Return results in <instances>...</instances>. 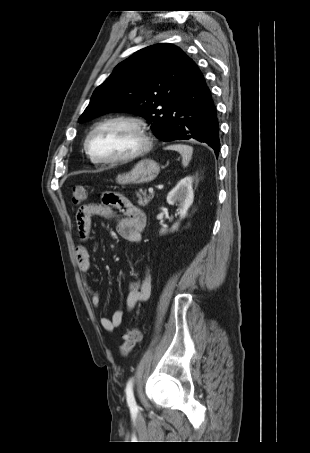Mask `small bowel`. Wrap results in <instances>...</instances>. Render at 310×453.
Instances as JSON below:
<instances>
[{
  "instance_id": "c3829d8e",
  "label": "small bowel",
  "mask_w": 310,
  "mask_h": 453,
  "mask_svg": "<svg viewBox=\"0 0 310 453\" xmlns=\"http://www.w3.org/2000/svg\"><path fill=\"white\" fill-rule=\"evenodd\" d=\"M113 209L121 213L117 223V231L120 237L132 245L140 244L142 232L146 225V215L140 208L119 194H108L101 204L89 203L78 209L76 213L77 231L83 243L90 239L92 217L95 215L112 217L114 216ZM76 260L81 273L88 277L91 273V261L89 251L84 244L77 247ZM86 288L91 297L92 305L95 308H100L101 298L98 292L88 284H86ZM151 289V278L146 270L140 279L131 282L129 285V293L126 298L127 310L132 311L138 303L147 301L151 295ZM123 318V311L117 310L110 318L103 317L101 325L106 331H113L122 324Z\"/></svg>"
}]
</instances>
